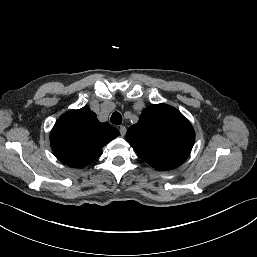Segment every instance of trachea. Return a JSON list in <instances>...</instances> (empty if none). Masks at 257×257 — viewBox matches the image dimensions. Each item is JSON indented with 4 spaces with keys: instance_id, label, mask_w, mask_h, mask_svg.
I'll use <instances>...</instances> for the list:
<instances>
[{
    "instance_id": "1",
    "label": "trachea",
    "mask_w": 257,
    "mask_h": 257,
    "mask_svg": "<svg viewBox=\"0 0 257 257\" xmlns=\"http://www.w3.org/2000/svg\"><path fill=\"white\" fill-rule=\"evenodd\" d=\"M111 122L116 125H120L122 123V116L119 112H114L111 115Z\"/></svg>"
}]
</instances>
